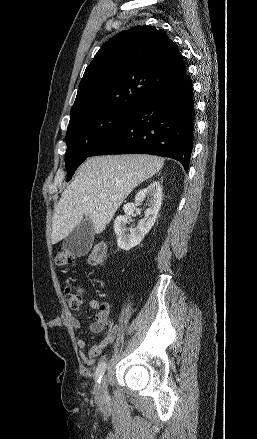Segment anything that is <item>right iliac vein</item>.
Listing matches in <instances>:
<instances>
[{"mask_svg": "<svg viewBox=\"0 0 257 439\" xmlns=\"http://www.w3.org/2000/svg\"><path fill=\"white\" fill-rule=\"evenodd\" d=\"M108 396V391H107V379L106 376H104L101 380V383L98 387V392H97V398L99 400H105Z\"/></svg>", "mask_w": 257, "mask_h": 439, "instance_id": "1", "label": "right iliac vein"}]
</instances>
